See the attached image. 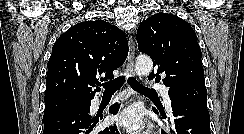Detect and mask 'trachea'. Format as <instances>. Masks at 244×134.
<instances>
[{"mask_svg": "<svg viewBox=\"0 0 244 134\" xmlns=\"http://www.w3.org/2000/svg\"><path fill=\"white\" fill-rule=\"evenodd\" d=\"M125 82V76H119L118 78L109 81L107 83L102 84L103 88L105 89L104 93L106 94H113L117 90L121 88V86ZM128 84L133 88L135 91L147 95V96H156L157 93L153 90H150L146 87H144L142 84H140L134 77L128 78Z\"/></svg>", "mask_w": 244, "mask_h": 134, "instance_id": "1", "label": "trachea"}]
</instances>
